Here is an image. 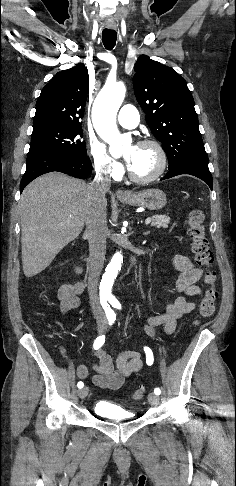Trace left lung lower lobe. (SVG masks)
Listing matches in <instances>:
<instances>
[{
    "instance_id": "1",
    "label": "left lung lower lobe",
    "mask_w": 236,
    "mask_h": 486,
    "mask_svg": "<svg viewBox=\"0 0 236 486\" xmlns=\"http://www.w3.org/2000/svg\"><path fill=\"white\" fill-rule=\"evenodd\" d=\"M181 174H189V175L196 176L202 179L203 181H205L209 185L210 189L213 188V179L209 171V168L194 166V165H183V166L170 169L166 174V176L162 178V180L177 175H181Z\"/></svg>"
}]
</instances>
